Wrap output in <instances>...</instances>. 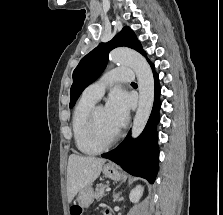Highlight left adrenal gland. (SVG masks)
<instances>
[{"label":"left adrenal gland","mask_w":223,"mask_h":215,"mask_svg":"<svg viewBox=\"0 0 223 215\" xmlns=\"http://www.w3.org/2000/svg\"><path fill=\"white\" fill-rule=\"evenodd\" d=\"M120 193H121V191H120ZM120 193H115V191H114V193H113L114 201H118Z\"/></svg>","instance_id":"1"}]
</instances>
